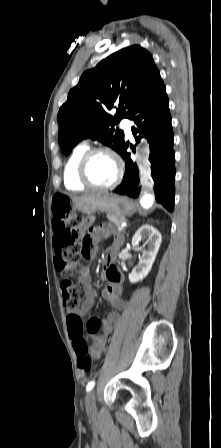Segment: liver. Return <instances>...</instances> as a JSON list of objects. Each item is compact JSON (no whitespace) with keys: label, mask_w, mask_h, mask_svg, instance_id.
Returning <instances> with one entry per match:
<instances>
[{"label":"liver","mask_w":221,"mask_h":448,"mask_svg":"<svg viewBox=\"0 0 221 448\" xmlns=\"http://www.w3.org/2000/svg\"><path fill=\"white\" fill-rule=\"evenodd\" d=\"M97 194H99V193H97ZM97 194L92 193V194H86V195H83V196H81V197L75 199V202H76V201H83V200H86V199H88V198H90V197H93V196H95V195H97Z\"/></svg>","instance_id":"6515ba94"}]
</instances>
